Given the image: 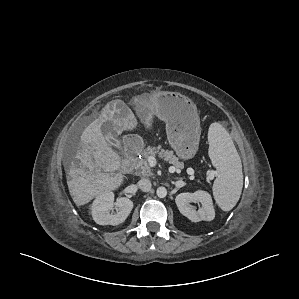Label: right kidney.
Listing matches in <instances>:
<instances>
[{"instance_id":"obj_1","label":"right kidney","mask_w":299,"mask_h":299,"mask_svg":"<svg viewBox=\"0 0 299 299\" xmlns=\"http://www.w3.org/2000/svg\"><path fill=\"white\" fill-rule=\"evenodd\" d=\"M114 208L117 212L110 213ZM132 208L133 202L130 199L121 197L114 201V193L109 191L96 197L91 206V213L97 224L115 226L126 220Z\"/></svg>"}]
</instances>
